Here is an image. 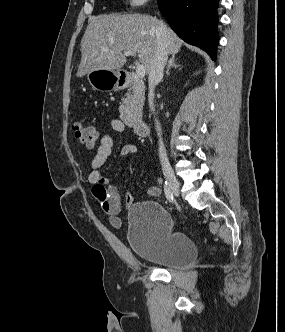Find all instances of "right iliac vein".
<instances>
[{"label":"right iliac vein","instance_id":"obj_1","mask_svg":"<svg viewBox=\"0 0 285 332\" xmlns=\"http://www.w3.org/2000/svg\"><path fill=\"white\" fill-rule=\"evenodd\" d=\"M163 173L165 175V177L167 178L169 187L171 189V192L175 195V196H179L180 192H179V183L173 173V170L170 166L168 165H164L163 166Z\"/></svg>","mask_w":285,"mask_h":332}]
</instances>
